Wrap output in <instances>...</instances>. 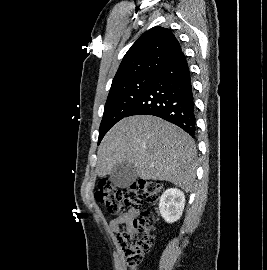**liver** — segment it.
<instances>
[{
	"label": "liver",
	"instance_id": "6515ba94",
	"mask_svg": "<svg viewBox=\"0 0 267 270\" xmlns=\"http://www.w3.org/2000/svg\"><path fill=\"white\" fill-rule=\"evenodd\" d=\"M196 146L182 129L159 117L124 118L103 138L96 173L104 177L123 162L133 164L144 180L169 181L190 192L195 179Z\"/></svg>",
	"mask_w": 267,
	"mask_h": 270
}]
</instances>
